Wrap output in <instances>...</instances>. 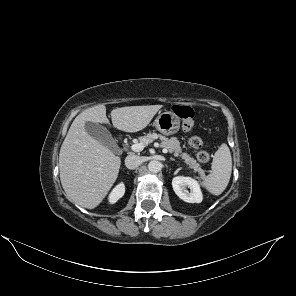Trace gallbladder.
Instances as JSON below:
<instances>
[{
	"mask_svg": "<svg viewBox=\"0 0 296 296\" xmlns=\"http://www.w3.org/2000/svg\"><path fill=\"white\" fill-rule=\"evenodd\" d=\"M85 129L91 137L96 139L102 145L106 146L113 152L117 151L118 147L116 144V140L112 137L107 128L97 123L86 122Z\"/></svg>",
	"mask_w": 296,
	"mask_h": 296,
	"instance_id": "obj_1",
	"label": "gallbladder"
}]
</instances>
